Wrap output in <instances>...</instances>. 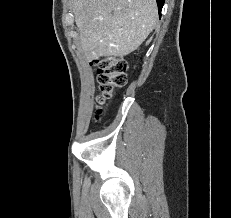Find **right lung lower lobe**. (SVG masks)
Masks as SVG:
<instances>
[{
	"label": "right lung lower lobe",
	"mask_w": 231,
	"mask_h": 218,
	"mask_svg": "<svg viewBox=\"0 0 231 218\" xmlns=\"http://www.w3.org/2000/svg\"><path fill=\"white\" fill-rule=\"evenodd\" d=\"M157 1V5H158V10H159V14H161V10L164 4L165 0H156Z\"/></svg>",
	"instance_id": "98d812e1"
}]
</instances>
